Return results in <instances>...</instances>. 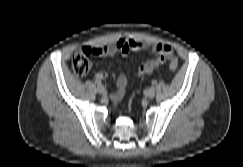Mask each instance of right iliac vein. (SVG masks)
Returning <instances> with one entry per match:
<instances>
[{"label": "right iliac vein", "instance_id": "obj_1", "mask_svg": "<svg viewBox=\"0 0 243 167\" xmlns=\"http://www.w3.org/2000/svg\"><path fill=\"white\" fill-rule=\"evenodd\" d=\"M97 90H98V93H99V94H105V92H106V90H105V88H104L103 86H99V87L97 88Z\"/></svg>", "mask_w": 243, "mask_h": 167}]
</instances>
